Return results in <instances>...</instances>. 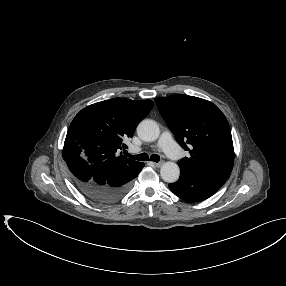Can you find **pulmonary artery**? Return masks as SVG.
Wrapping results in <instances>:
<instances>
[{
	"label": "pulmonary artery",
	"mask_w": 286,
	"mask_h": 286,
	"mask_svg": "<svg viewBox=\"0 0 286 286\" xmlns=\"http://www.w3.org/2000/svg\"><path fill=\"white\" fill-rule=\"evenodd\" d=\"M158 145L171 159H177L179 157L180 149L174 142L172 135L169 132L162 133ZM133 150L139 151L137 148H134Z\"/></svg>",
	"instance_id": "obj_1"
}]
</instances>
